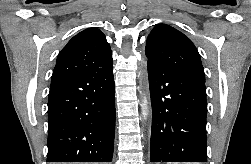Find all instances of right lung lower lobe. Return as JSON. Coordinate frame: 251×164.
Wrapping results in <instances>:
<instances>
[{
	"instance_id": "98d812e1",
	"label": "right lung lower lobe",
	"mask_w": 251,
	"mask_h": 164,
	"mask_svg": "<svg viewBox=\"0 0 251 164\" xmlns=\"http://www.w3.org/2000/svg\"><path fill=\"white\" fill-rule=\"evenodd\" d=\"M47 162H111L113 65L51 85Z\"/></svg>"
}]
</instances>
